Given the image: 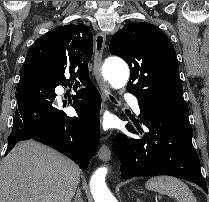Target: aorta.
<instances>
[{
	"mask_svg": "<svg viewBox=\"0 0 209 202\" xmlns=\"http://www.w3.org/2000/svg\"><path fill=\"white\" fill-rule=\"evenodd\" d=\"M102 74L113 88H122L127 84L129 68L119 59L109 58L103 67ZM107 168H98L90 179V191L95 202H117L106 185Z\"/></svg>",
	"mask_w": 209,
	"mask_h": 202,
	"instance_id": "1",
	"label": "aorta"
}]
</instances>
